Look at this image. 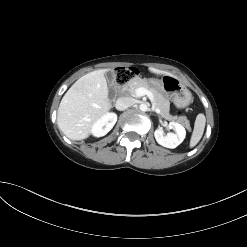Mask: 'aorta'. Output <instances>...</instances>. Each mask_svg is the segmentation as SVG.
Returning a JSON list of instances; mask_svg holds the SVG:
<instances>
[{
	"instance_id": "762f6f07",
	"label": "aorta",
	"mask_w": 247,
	"mask_h": 247,
	"mask_svg": "<svg viewBox=\"0 0 247 247\" xmlns=\"http://www.w3.org/2000/svg\"><path fill=\"white\" fill-rule=\"evenodd\" d=\"M139 109L143 112H146L148 110V106L145 103H142L139 105Z\"/></svg>"
}]
</instances>
